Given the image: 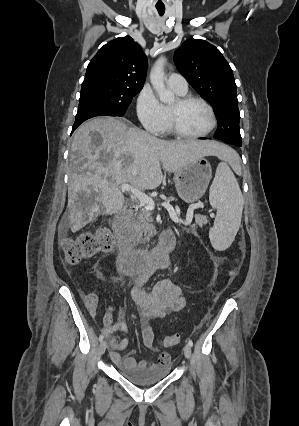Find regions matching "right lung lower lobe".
Masks as SVG:
<instances>
[{
	"label": "right lung lower lobe",
	"mask_w": 299,
	"mask_h": 426,
	"mask_svg": "<svg viewBox=\"0 0 299 426\" xmlns=\"http://www.w3.org/2000/svg\"><path fill=\"white\" fill-rule=\"evenodd\" d=\"M96 116H122L120 114H117L110 109L103 108V107H96V106H90L83 108L81 110H78L75 123L72 128L73 131L85 120L96 117Z\"/></svg>",
	"instance_id": "right-lung-lower-lobe-1"
}]
</instances>
